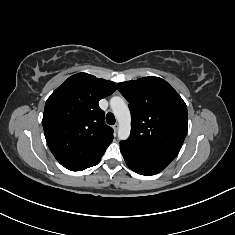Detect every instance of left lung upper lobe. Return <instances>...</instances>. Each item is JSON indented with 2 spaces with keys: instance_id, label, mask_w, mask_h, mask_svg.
Returning a JSON list of instances; mask_svg holds the SVG:
<instances>
[{
  "instance_id": "left-lung-upper-lobe-1",
  "label": "left lung upper lobe",
  "mask_w": 235,
  "mask_h": 235,
  "mask_svg": "<svg viewBox=\"0 0 235 235\" xmlns=\"http://www.w3.org/2000/svg\"><path fill=\"white\" fill-rule=\"evenodd\" d=\"M117 87L129 102L132 118L130 137L122 142L133 150L171 163L187 134L185 102L159 77L122 82Z\"/></svg>"
}]
</instances>
